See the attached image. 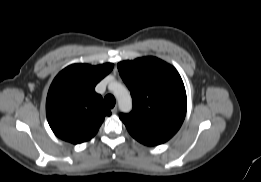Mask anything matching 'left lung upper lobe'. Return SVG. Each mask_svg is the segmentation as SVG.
<instances>
[{
	"label": "left lung upper lobe",
	"mask_w": 261,
	"mask_h": 182,
	"mask_svg": "<svg viewBox=\"0 0 261 182\" xmlns=\"http://www.w3.org/2000/svg\"><path fill=\"white\" fill-rule=\"evenodd\" d=\"M118 70L133 99L131 113L120 114L131 136L147 146L169 140L181 127L187 109L177 70L156 57L120 62Z\"/></svg>",
	"instance_id": "5c2ea615"
}]
</instances>
